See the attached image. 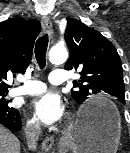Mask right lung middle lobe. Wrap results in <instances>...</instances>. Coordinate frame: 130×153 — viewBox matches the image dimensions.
<instances>
[{
	"label": "right lung middle lobe",
	"instance_id": "right-lung-middle-lobe-1",
	"mask_svg": "<svg viewBox=\"0 0 130 153\" xmlns=\"http://www.w3.org/2000/svg\"><path fill=\"white\" fill-rule=\"evenodd\" d=\"M7 92L8 91H0V107H4L9 110H14V108H11L8 106V103L10 102V100L5 99Z\"/></svg>",
	"mask_w": 130,
	"mask_h": 153
}]
</instances>
